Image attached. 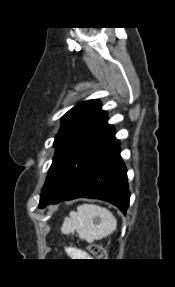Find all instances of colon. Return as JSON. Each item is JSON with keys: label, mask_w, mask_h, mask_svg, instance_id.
I'll return each mask as SVG.
<instances>
[{"label": "colon", "mask_w": 175, "mask_h": 287, "mask_svg": "<svg viewBox=\"0 0 175 287\" xmlns=\"http://www.w3.org/2000/svg\"><path fill=\"white\" fill-rule=\"evenodd\" d=\"M88 249L97 258L102 259L106 256L104 248L99 244H91Z\"/></svg>", "instance_id": "5ec220e1"}]
</instances>
